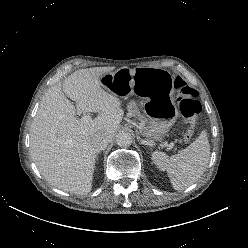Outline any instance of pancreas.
<instances>
[{
	"label": "pancreas",
	"instance_id": "obj_1",
	"mask_svg": "<svg viewBox=\"0 0 248 248\" xmlns=\"http://www.w3.org/2000/svg\"><path fill=\"white\" fill-rule=\"evenodd\" d=\"M128 110L138 114V110L136 108V103L134 101H131L128 104Z\"/></svg>",
	"mask_w": 248,
	"mask_h": 248
}]
</instances>
